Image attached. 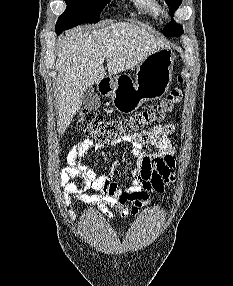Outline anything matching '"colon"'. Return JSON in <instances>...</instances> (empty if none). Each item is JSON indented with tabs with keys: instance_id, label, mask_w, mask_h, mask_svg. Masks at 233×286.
Wrapping results in <instances>:
<instances>
[{
	"instance_id": "1",
	"label": "colon",
	"mask_w": 233,
	"mask_h": 286,
	"mask_svg": "<svg viewBox=\"0 0 233 286\" xmlns=\"http://www.w3.org/2000/svg\"><path fill=\"white\" fill-rule=\"evenodd\" d=\"M182 82V77H177ZM182 99L180 88H174L168 96L161 101L152 104L146 110L129 117L105 119L97 112L90 109H82L78 114L77 124L81 132L88 138L99 143L120 142L127 137L141 133L152 124L160 123L170 115ZM148 200V193L138 192L130 201V209L137 212Z\"/></svg>"
}]
</instances>
